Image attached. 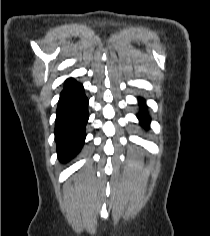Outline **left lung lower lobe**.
<instances>
[{
	"mask_svg": "<svg viewBox=\"0 0 210 236\" xmlns=\"http://www.w3.org/2000/svg\"><path fill=\"white\" fill-rule=\"evenodd\" d=\"M139 102L141 103L142 106H145L143 100L140 99ZM138 118L141 122V125L144 126L145 128H147L149 125V121H150L149 118L147 117V115L145 113H142V114L138 115Z\"/></svg>",
	"mask_w": 210,
	"mask_h": 236,
	"instance_id": "left-lung-lower-lobe-1",
	"label": "left lung lower lobe"
}]
</instances>
